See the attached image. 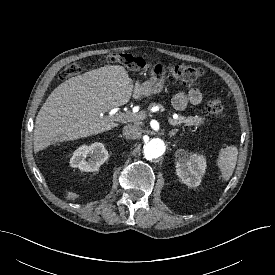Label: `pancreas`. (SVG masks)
Masks as SVG:
<instances>
[{
    "instance_id": "1",
    "label": "pancreas",
    "mask_w": 275,
    "mask_h": 275,
    "mask_svg": "<svg viewBox=\"0 0 275 275\" xmlns=\"http://www.w3.org/2000/svg\"><path fill=\"white\" fill-rule=\"evenodd\" d=\"M154 105V104H152ZM170 121L174 122L175 124H181L185 123L186 126H195L199 127L204 123V118L199 117V116H190L188 118L179 116L177 119H169Z\"/></svg>"
}]
</instances>
